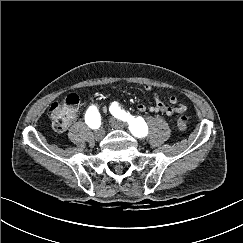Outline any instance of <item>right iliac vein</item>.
Listing matches in <instances>:
<instances>
[{
    "label": "right iliac vein",
    "mask_w": 243,
    "mask_h": 243,
    "mask_svg": "<svg viewBox=\"0 0 243 243\" xmlns=\"http://www.w3.org/2000/svg\"><path fill=\"white\" fill-rule=\"evenodd\" d=\"M95 139L96 140H101L103 137H104V135H105V130H104V128L103 127H101V128H99V129H97L96 131H95Z\"/></svg>",
    "instance_id": "obj_1"
}]
</instances>
